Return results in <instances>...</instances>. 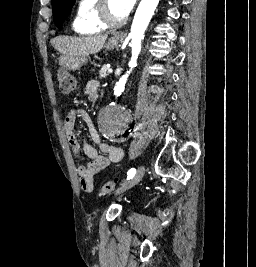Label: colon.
I'll list each match as a JSON object with an SVG mask.
<instances>
[{"mask_svg": "<svg viewBox=\"0 0 256 267\" xmlns=\"http://www.w3.org/2000/svg\"><path fill=\"white\" fill-rule=\"evenodd\" d=\"M58 83H59L60 90L66 94L72 93L77 87V81L75 77L68 70L58 71ZM116 188H117V183L115 181H109V182L103 183L99 187L98 192L100 195H106V194H109L115 191Z\"/></svg>", "mask_w": 256, "mask_h": 267, "instance_id": "obj_1", "label": "colon"}]
</instances>
